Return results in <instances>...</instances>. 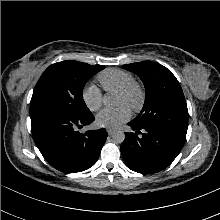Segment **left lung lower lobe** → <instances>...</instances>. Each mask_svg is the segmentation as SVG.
<instances>
[{
  "label": "left lung lower lobe",
  "mask_w": 220,
  "mask_h": 220,
  "mask_svg": "<svg viewBox=\"0 0 220 220\" xmlns=\"http://www.w3.org/2000/svg\"><path fill=\"white\" fill-rule=\"evenodd\" d=\"M135 133H125L121 153L126 166L151 174L167 168L180 153L186 136L166 127L138 126L128 123ZM143 131L142 136L140 131Z\"/></svg>",
  "instance_id": "0a47b994"
}]
</instances>
